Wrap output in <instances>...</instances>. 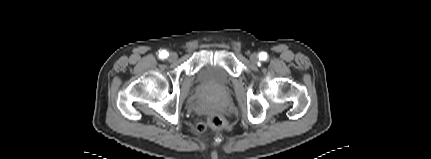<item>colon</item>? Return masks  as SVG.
<instances>
[{"instance_id":"colon-1","label":"colon","mask_w":431,"mask_h":159,"mask_svg":"<svg viewBox=\"0 0 431 159\" xmlns=\"http://www.w3.org/2000/svg\"><path fill=\"white\" fill-rule=\"evenodd\" d=\"M207 126L210 128L216 129V130H220V129L224 128L225 121H224L223 117H221L219 114L212 113L207 118V124H205L203 122H199L196 125V130L198 132H204L206 130Z\"/></svg>"}]
</instances>
